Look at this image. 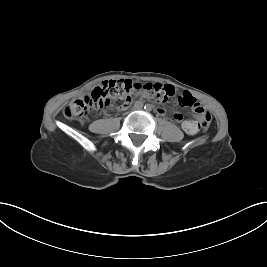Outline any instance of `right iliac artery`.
Here are the masks:
<instances>
[{
    "label": "right iliac artery",
    "mask_w": 267,
    "mask_h": 267,
    "mask_svg": "<svg viewBox=\"0 0 267 267\" xmlns=\"http://www.w3.org/2000/svg\"><path fill=\"white\" fill-rule=\"evenodd\" d=\"M143 105H144V104H143V102H141V101H136L135 104H134L135 108H138V109L142 108Z\"/></svg>",
    "instance_id": "82829eb1"
}]
</instances>
